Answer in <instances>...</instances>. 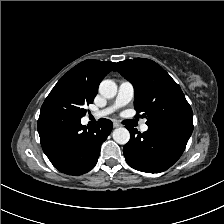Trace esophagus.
<instances>
[{"label":"esophagus","mask_w":224,"mask_h":224,"mask_svg":"<svg viewBox=\"0 0 224 224\" xmlns=\"http://www.w3.org/2000/svg\"><path fill=\"white\" fill-rule=\"evenodd\" d=\"M113 126H114V128H117V127H120L121 124L118 121L114 120L113 121Z\"/></svg>","instance_id":"1"}]
</instances>
